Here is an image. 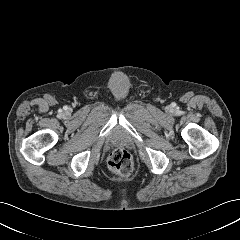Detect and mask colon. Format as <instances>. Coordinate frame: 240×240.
<instances>
[{
    "label": "colon",
    "instance_id": "colon-1",
    "mask_svg": "<svg viewBox=\"0 0 240 240\" xmlns=\"http://www.w3.org/2000/svg\"><path fill=\"white\" fill-rule=\"evenodd\" d=\"M110 170L118 175H130L134 168L133 158L125 149H115L108 157Z\"/></svg>",
    "mask_w": 240,
    "mask_h": 240
}]
</instances>
